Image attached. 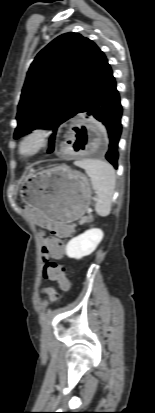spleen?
Masks as SVG:
<instances>
[{"label": "spleen", "instance_id": "spleen-1", "mask_svg": "<svg viewBox=\"0 0 155 413\" xmlns=\"http://www.w3.org/2000/svg\"><path fill=\"white\" fill-rule=\"evenodd\" d=\"M74 164L85 170L90 177L92 188L96 194L95 211L106 217L111 212L112 198L115 190L116 174L111 164L98 159H84Z\"/></svg>", "mask_w": 155, "mask_h": 413}]
</instances>
